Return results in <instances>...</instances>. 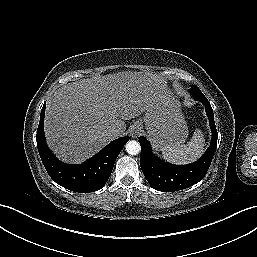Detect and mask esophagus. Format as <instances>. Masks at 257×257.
I'll return each instance as SVG.
<instances>
[{
	"label": "esophagus",
	"mask_w": 257,
	"mask_h": 257,
	"mask_svg": "<svg viewBox=\"0 0 257 257\" xmlns=\"http://www.w3.org/2000/svg\"><path fill=\"white\" fill-rule=\"evenodd\" d=\"M141 132V129L139 128V126H134L133 129L131 130V136L133 138H136Z\"/></svg>",
	"instance_id": "34e87169"
}]
</instances>
